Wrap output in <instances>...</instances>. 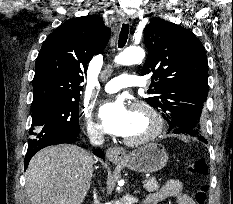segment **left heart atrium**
Wrapping results in <instances>:
<instances>
[{"label":"left heart atrium","instance_id":"left-heart-atrium-1","mask_svg":"<svg viewBox=\"0 0 233 204\" xmlns=\"http://www.w3.org/2000/svg\"><path fill=\"white\" fill-rule=\"evenodd\" d=\"M101 125L107 133L124 136L131 118V111L122 100L104 103L98 110Z\"/></svg>","mask_w":233,"mask_h":204}]
</instances>
